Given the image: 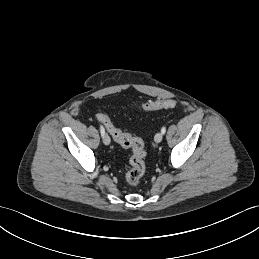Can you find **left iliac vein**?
Wrapping results in <instances>:
<instances>
[{
  "label": "left iliac vein",
  "instance_id": "obj_1",
  "mask_svg": "<svg viewBox=\"0 0 259 259\" xmlns=\"http://www.w3.org/2000/svg\"><path fill=\"white\" fill-rule=\"evenodd\" d=\"M162 139H163V134H162V132L157 133V134L155 135V137H154V141H155L156 143H160V142L162 141Z\"/></svg>",
  "mask_w": 259,
  "mask_h": 259
}]
</instances>
